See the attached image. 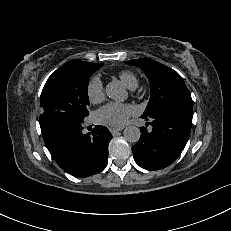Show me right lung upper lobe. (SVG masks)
<instances>
[{"instance_id":"obj_1","label":"right lung upper lobe","mask_w":231,"mask_h":231,"mask_svg":"<svg viewBox=\"0 0 231 231\" xmlns=\"http://www.w3.org/2000/svg\"><path fill=\"white\" fill-rule=\"evenodd\" d=\"M69 62H73V63H75V62H83V61H79V60H71V61H69Z\"/></svg>"}]
</instances>
